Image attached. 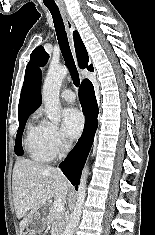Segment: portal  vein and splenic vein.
Masks as SVG:
<instances>
[{
    "mask_svg": "<svg viewBox=\"0 0 155 235\" xmlns=\"http://www.w3.org/2000/svg\"><path fill=\"white\" fill-rule=\"evenodd\" d=\"M33 187H42V185H39V184H33L32 185ZM53 207H54V210L57 212V213H61L64 211V202L62 199L60 198H57L54 200V203H53Z\"/></svg>",
    "mask_w": 155,
    "mask_h": 235,
    "instance_id": "portal-vein-and-splenic-vein-1",
    "label": "portal vein and splenic vein"
}]
</instances>
